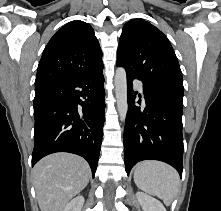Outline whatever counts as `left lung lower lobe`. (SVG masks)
<instances>
[{
    "mask_svg": "<svg viewBox=\"0 0 221 211\" xmlns=\"http://www.w3.org/2000/svg\"><path fill=\"white\" fill-rule=\"evenodd\" d=\"M126 72L128 112L124 129V160L127 174L137 162L151 159L170 164L182 177L183 92L172 87L150 85L138 75ZM133 79L143 82L144 110L134 104L138 92H133Z\"/></svg>",
    "mask_w": 221,
    "mask_h": 211,
    "instance_id": "obj_1",
    "label": "left lung lower lobe"
}]
</instances>
